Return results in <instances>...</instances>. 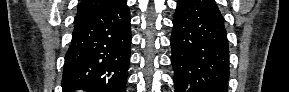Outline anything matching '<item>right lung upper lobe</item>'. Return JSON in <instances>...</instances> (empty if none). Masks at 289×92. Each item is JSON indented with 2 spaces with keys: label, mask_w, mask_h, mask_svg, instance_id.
Returning <instances> with one entry per match:
<instances>
[{
  "label": "right lung upper lobe",
  "mask_w": 289,
  "mask_h": 92,
  "mask_svg": "<svg viewBox=\"0 0 289 92\" xmlns=\"http://www.w3.org/2000/svg\"><path fill=\"white\" fill-rule=\"evenodd\" d=\"M116 0H81L77 14L100 9L113 4Z\"/></svg>",
  "instance_id": "cb5924a9"
}]
</instances>
